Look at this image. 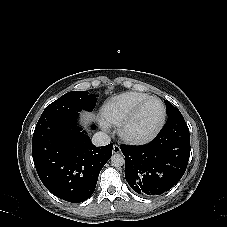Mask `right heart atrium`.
I'll use <instances>...</instances> for the list:
<instances>
[{
    "mask_svg": "<svg viewBox=\"0 0 227 227\" xmlns=\"http://www.w3.org/2000/svg\"><path fill=\"white\" fill-rule=\"evenodd\" d=\"M101 125H102V127H103L104 129H108V127H109L108 123L105 122V121H103V122L101 123Z\"/></svg>",
    "mask_w": 227,
    "mask_h": 227,
    "instance_id": "obj_1",
    "label": "right heart atrium"
}]
</instances>
